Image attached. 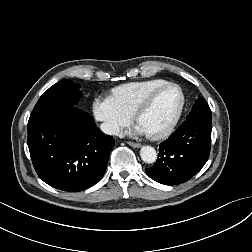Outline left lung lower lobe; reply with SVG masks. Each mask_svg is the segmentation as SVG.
I'll return each mask as SVG.
<instances>
[{"instance_id": "0a47b994", "label": "left lung lower lobe", "mask_w": 252, "mask_h": 252, "mask_svg": "<svg viewBox=\"0 0 252 252\" xmlns=\"http://www.w3.org/2000/svg\"><path fill=\"white\" fill-rule=\"evenodd\" d=\"M212 119L186 120L166 141L160 143L156 163L145 169L153 180L176 185L197 174L210 154Z\"/></svg>"}]
</instances>
